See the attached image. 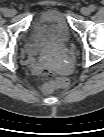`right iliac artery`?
<instances>
[{
    "instance_id": "obj_1",
    "label": "right iliac artery",
    "mask_w": 104,
    "mask_h": 137,
    "mask_svg": "<svg viewBox=\"0 0 104 137\" xmlns=\"http://www.w3.org/2000/svg\"><path fill=\"white\" fill-rule=\"evenodd\" d=\"M2 11H3L4 14L8 13V9L7 8H3Z\"/></svg>"
}]
</instances>
